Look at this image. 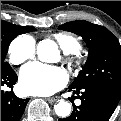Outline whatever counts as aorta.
Masks as SVG:
<instances>
[{
  "label": "aorta",
  "mask_w": 121,
  "mask_h": 121,
  "mask_svg": "<svg viewBox=\"0 0 121 121\" xmlns=\"http://www.w3.org/2000/svg\"><path fill=\"white\" fill-rule=\"evenodd\" d=\"M57 45L50 40H43L37 46V55L41 61H51L52 57L57 55ZM55 113L60 117H67L71 112L70 103L61 100L54 106Z\"/></svg>",
  "instance_id": "762f6f07"
}]
</instances>
